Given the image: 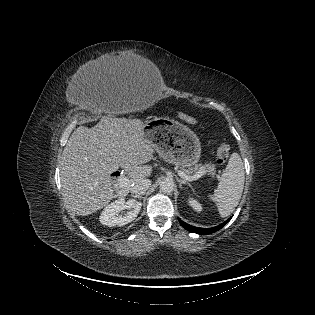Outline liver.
I'll use <instances>...</instances> for the list:
<instances>
[{
	"label": "liver",
	"mask_w": 315,
	"mask_h": 315,
	"mask_svg": "<svg viewBox=\"0 0 315 315\" xmlns=\"http://www.w3.org/2000/svg\"><path fill=\"white\" fill-rule=\"evenodd\" d=\"M144 127L141 119L105 116L92 128L74 130L60 166L69 210L79 216L95 213L113 198L125 197L135 181L151 175L152 167L144 164L153 158L155 148L145 137ZM119 167L128 172L129 183L113 189L111 174Z\"/></svg>",
	"instance_id": "6515ba94"
}]
</instances>
